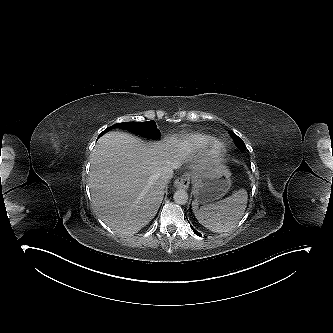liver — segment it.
<instances>
[{
	"mask_svg": "<svg viewBox=\"0 0 333 333\" xmlns=\"http://www.w3.org/2000/svg\"><path fill=\"white\" fill-rule=\"evenodd\" d=\"M192 158V144L175 136L148 144L125 132L106 133L91 153L94 210L116 233H137L154 218L163 200L166 183L160 179L161 169L173 164L177 168Z\"/></svg>",
	"mask_w": 333,
	"mask_h": 333,
	"instance_id": "1",
	"label": "liver"
}]
</instances>
